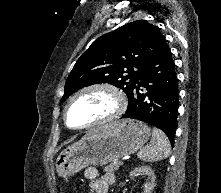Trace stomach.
Returning <instances> with one entry per match:
<instances>
[{"label": "stomach", "instance_id": "1", "mask_svg": "<svg viewBox=\"0 0 221 193\" xmlns=\"http://www.w3.org/2000/svg\"><path fill=\"white\" fill-rule=\"evenodd\" d=\"M149 137L150 128L137 120L101 126L61 152L56 159V171L60 176H72L90 165H106L136 152Z\"/></svg>", "mask_w": 221, "mask_h": 193}]
</instances>
